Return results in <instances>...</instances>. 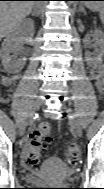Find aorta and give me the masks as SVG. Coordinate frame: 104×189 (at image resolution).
Returning <instances> with one entry per match:
<instances>
[{
    "mask_svg": "<svg viewBox=\"0 0 104 189\" xmlns=\"http://www.w3.org/2000/svg\"><path fill=\"white\" fill-rule=\"evenodd\" d=\"M74 3H75V2H73V1H70V2H69L70 5H71V4H74Z\"/></svg>",
    "mask_w": 104,
    "mask_h": 189,
    "instance_id": "aorta-1",
    "label": "aorta"
}]
</instances>
